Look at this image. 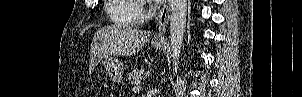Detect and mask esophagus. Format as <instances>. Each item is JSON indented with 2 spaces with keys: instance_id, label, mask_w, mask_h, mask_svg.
I'll list each match as a JSON object with an SVG mask.
<instances>
[{
  "instance_id": "esophagus-1",
  "label": "esophagus",
  "mask_w": 302,
  "mask_h": 97,
  "mask_svg": "<svg viewBox=\"0 0 302 97\" xmlns=\"http://www.w3.org/2000/svg\"><path fill=\"white\" fill-rule=\"evenodd\" d=\"M170 1L166 2L158 13L157 32L154 37L156 42L166 41V29L169 21Z\"/></svg>"
}]
</instances>
